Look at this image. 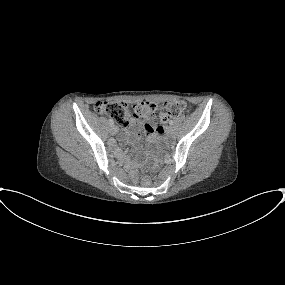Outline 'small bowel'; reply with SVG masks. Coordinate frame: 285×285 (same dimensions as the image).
<instances>
[{
    "label": "small bowel",
    "mask_w": 285,
    "mask_h": 285,
    "mask_svg": "<svg viewBox=\"0 0 285 285\" xmlns=\"http://www.w3.org/2000/svg\"><path fill=\"white\" fill-rule=\"evenodd\" d=\"M141 129H143V131L145 132L147 136L152 138L155 136L156 132H160L161 126L157 123H153V124L141 123V121L138 120L137 118H132L130 120V125L127 131L129 133L134 134L135 137L139 139L141 136L140 134Z\"/></svg>",
    "instance_id": "small-bowel-1"
}]
</instances>
